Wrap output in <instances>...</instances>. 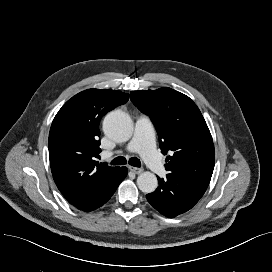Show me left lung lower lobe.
Instances as JSON below:
<instances>
[{
  "mask_svg": "<svg viewBox=\"0 0 272 272\" xmlns=\"http://www.w3.org/2000/svg\"><path fill=\"white\" fill-rule=\"evenodd\" d=\"M158 188L146 195L148 202L168 218L176 217L200 200L209 183L193 177L169 173L165 179L158 177Z\"/></svg>",
  "mask_w": 272,
  "mask_h": 272,
  "instance_id": "left-lung-lower-lobe-1",
  "label": "left lung lower lobe"
}]
</instances>
